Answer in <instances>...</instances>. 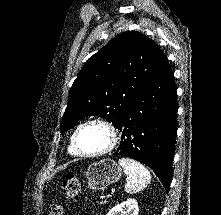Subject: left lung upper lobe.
<instances>
[{
  "instance_id": "obj_1",
  "label": "left lung upper lobe",
  "mask_w": 221,
  "mask_h": 215,
  "mask_svg": "<svg viewBox=\"0 0 221 215\" xmlns=\"http://www.w3.org/2000/svg\"><path fill=\"white\" fill-rule=\"evenodd\" d=\"M166 59L157 44L140 32L127 31L110 40L85 62L75 79L61 132L91 115L103 117L117 127Z\"/></svg>"
}]
</instances>
